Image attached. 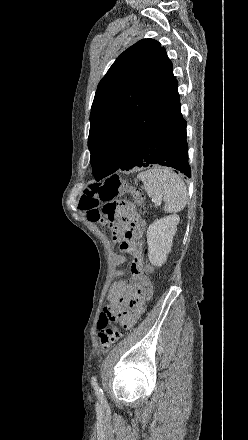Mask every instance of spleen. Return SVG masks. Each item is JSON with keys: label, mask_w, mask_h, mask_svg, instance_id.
<instances>
[{"label": "spleen", "mask_w": 248, "mask_h": 440, "mask_svg": "<svg viewBox=\"0 0 248 440\" xmlns=\"http://www.w3.org/2000/svg\"><path fill=\"white\" fill-rule=\"evenodd\" d=\"M149 197L157 204L165 202L164 211L176 213L184 209L188 200L187 188L182 179L167 168L155 167L139 173Z\"/></svg>", "instance_id": "3e777b00"}]
</instances>
